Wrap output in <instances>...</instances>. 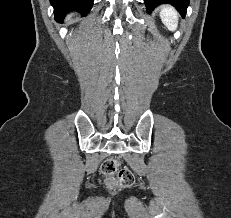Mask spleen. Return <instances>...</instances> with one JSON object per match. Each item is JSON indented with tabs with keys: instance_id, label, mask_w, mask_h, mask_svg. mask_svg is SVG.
<instances>
[{
	"instance_id": "1",
	"label": "spleen",
	"mask_w": 231,
	"mask_h": 218,
	"mask_svg": "<svg viewBox=\"0 0 231 218\" xmlns=\"http://www.w3.org/2000/svg\"><path fill=\"white\" fill-rule=\"evenodd\" d=\"M160 18L170 31H173L177 28L178 14L172 6H163L160 11Z\"/></svg>"
}]
</instances>
